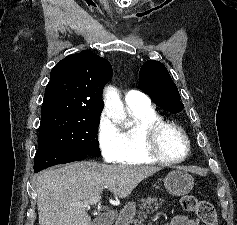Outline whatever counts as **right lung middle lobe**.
Instances as JSON below:
<instances>
[{
	"label": "right lung middle lobe",
	"instance_id": "dd1d6c3e",
	"mask_svg": "<svg viewBox=\"0 0 237 225\" xmlns=\"http://www.w3.org/2000/svg\"><path fill=\"white\" fill-rule=\"evenodd\" d=\"M100 115H64L41 120L38 147L65 149L99 157L97 130Z\"/></svg>",
	"mask_w": 237,
	"mask_h": 225
}]
</instances>
